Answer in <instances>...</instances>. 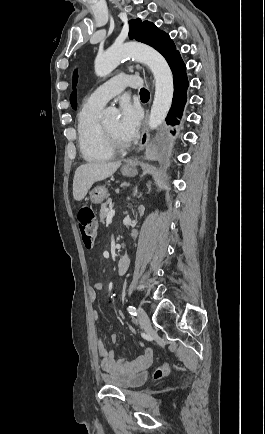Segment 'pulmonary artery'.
I'll list each match as a JSON object with an SVG mask.
<instances>
[{
	"instance_id": "pulmonary-artery-1",
	"label": "pulmonary artery",
	"mask_w": 265,
	"mask_h": 434,
	"mask_svg": "<svg viewBox=\"0 0 265 434\" xmlns=\"http://www.w3.org/2000/svg\"><path fill=\"white\" fill-rule=\"evenodd\" d=\"M132 81L133 84H140L143 81L140 75H133L130 78L129 75L118 74L108 81H104L99 87H95L94 91H91L88 96L89 103H97L104 105L109 97L115 96L116 93L126 90L127 84Z\"/></svg>"
}]
</instances>
